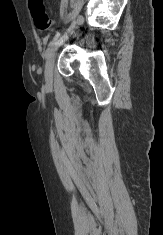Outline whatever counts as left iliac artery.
<instances>
[{
  "label": "left iliac artery",
  "mask_w": 163,
  "mask_h": 235,
  "mask_svg": "<svg viewBox=\"0 0 163 235\" xmlns=\"http://www.w3.org/2000/svg\"><path fill=\"white\" fill-rule=\"evenodd\" d=\"M76 23H77V21H73V23L71 24V26L69 27V29L74 28L75 25H76ZM61 41H62V38H60V39L56 38V39H54L52 42H50V44L48 45V48H47V50H46V53H45V57H46V58H48V57L50 56V54H51L53 48H54L55 46H57L58 44H60Z\"/></svg>",
  "instance_id": "left-iliac-artery-1"
}]
</instances>
